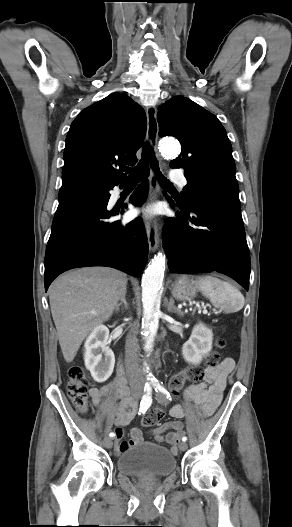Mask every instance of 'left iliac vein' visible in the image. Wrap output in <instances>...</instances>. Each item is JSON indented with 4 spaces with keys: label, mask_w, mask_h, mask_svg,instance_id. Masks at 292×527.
Instances as JSON below:
<instances>
[{
    "label": "left iliac vein",
    "mask_w": 292,
    "mask_h": 527,
    "mask_svg": "<svg viewBox=\"0 0 292 527\" xmlns=\"http://www.w3.org/2000/svg\"><path fill=\"white\" fill-rule=\"evenodd\" d=\"M187 448H188V446H187V443H186V442H181V443L179 444V449H180L181 451H185V450H187Z\"/></svg>",
    "instance_id": "1"
}]
</instances>
